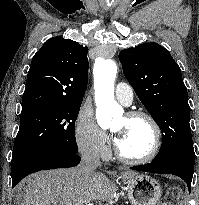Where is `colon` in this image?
<instances>
[{"instance_id": "obj_1", "label": "colon", "mask_w": 199, "mask_h": 205, "mask_svg": "<svg viewBox=\"0 0 199 205\" xmlns=\"http://www.w3.org/2000/svg\"><path fill=\"white\" fill-rule=\"evenodd\" d=\"M181 188L171 187L167 195L161 201V205H178L181 198Z\"/></svg>"}]
</instances>
